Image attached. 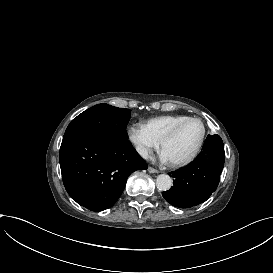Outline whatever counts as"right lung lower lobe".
Listing matches in <instances>:
<instances>
[{
  "label": "right lung lower lobe",
  "mask_w": 273,
  "mask_h": 273,
  "mask_svg": "<svg viewBox=\"0 0 273 273\" xmlns=\"http://www.w3.org/2000/svg\"><path fill=\"white\" fill-rule=\"evenodd\" d=\"M59 161L66 191L91 211L113 206L129 175L148 167L130 142L91 136L64 139Z\"/></svg>",
  "instance_id": "1"
}]
</instances>
